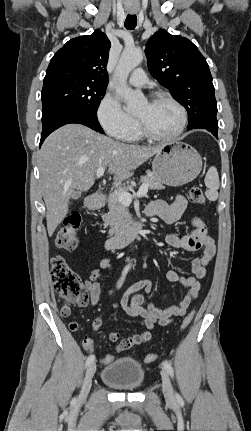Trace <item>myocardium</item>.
<instances>
[{
    "label": "myocardium",
    "mask_w": 251,
    "mask_h": 431,
    "mask_svg": "<svg viewBox=\"0 0 251 431\" xmlns=\"http://www.w3.org/2000/svg\"><path fill=\"white\" fill-rule=\"evenodd\" d=\"M167 101L172 103L180 112V123L178 128L168 135H158L150 131L145 123L136 116V123L141 136L154 141H171L178 138L186 128L188 114L186 108L173 96L167 93H157L152 96L150 102Z\"/></svg>",
    "instance_id": "myocardium-1"
}]
</instances>
